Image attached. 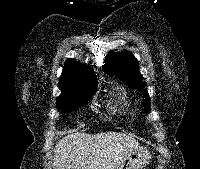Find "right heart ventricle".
I'll return each instance as SVG.
<instances>
[{"label": "right heart ventricle", "mask_w": 200, "mask_h": 169, "mask_svg": "<svg viewBox=\"0 0 200 169\" xmlns=\"http://www.w3.org/2000/svg\"><path fill=\"white\" fill-rule=\"evenodd\" d=\"M125 103H126V99H125L124 95L121 94V93H117L116 94V98H115V102L111 106V109L114 112H118V111H120V110H122L124 108Z\"/></svg>", "instance_id": "right-heart-ventricle-1"}]
</instances>
